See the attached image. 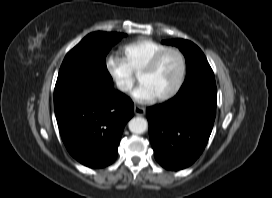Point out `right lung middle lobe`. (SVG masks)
<instances>
[{
  "label": "right lung middle lobe",
  "instance_id": "1",
  "mask_svg": "<svg viewBox=\"0 0 272 198\" xmlns=\"http://www.w3.org/2000/svg\"><path fill=\"white\" fill-rule=\"evenodd\" d=\"M123 36L122 33L100 31L88 34L64 58L54 96L81 86L100 89L113 87L112 77L106 67V55Z\"/></svg>",
  "mask_w": 272,
  "mask_h": 198
}]
</instances>
